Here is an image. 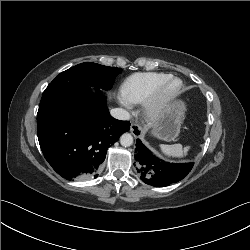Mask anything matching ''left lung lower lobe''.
<instances>
[{
	"label": "left lung lower lobe",
	"mask_w": 250,
	"mask_h": 250,
	"mask_svg": "<svg viewBox=\"0 0 250 250\" xmlns=\"http://www.w3.org/2000/svg\"><path fill=\"white\" fill-rule=\"evenodd\" d=\"M135 163L140 178L146 184L164 187L182 180L191 171L194 163L170 164L157 158L141 142L136 141Z\"/></svg>",
	"instance_id": "0a47b994"
}]
</instances>
